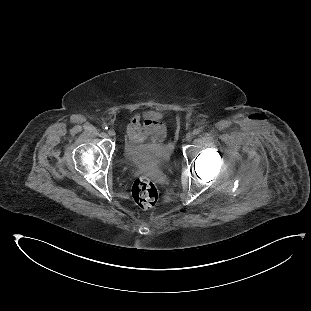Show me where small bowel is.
Here are the masks:
<instances>
[{"mask_svg": "<svg viewBox=\"0 0 311 311\" xmlns=\"http://www.w3.org/2000/svg\"><path fill=\"white\" fill-rule=\"evenodd\" d=\"M128 137L131 145L144 141H161L166 134V126L160 116L152 111L135 113L128 124Z\"/></svg>", "mask_w": 311, "mask_h": 311, "instance_id": "small-bowel-1", "label": "small bowel"}]
</instances>
